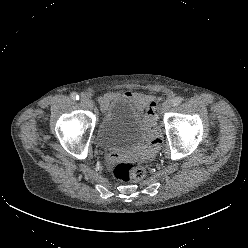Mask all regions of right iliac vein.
Returning <instances> with one entry per match:
<instances>
[{
  "mask_svg": "<svg viewBox=\"0 0 248 248\" xmlns=\"http://www.w3.org/2000/svg\"><path fill=\"white\" fill-rule=\"evenodd\" d=\"M81 102L88 108H92L93 107V102L92 99L87 96V95H82L81 97Z\"/></svg>",
  "mask_w": 248,
  "mask_h": 248,
  "instance_id": "right-iliac-vein-1",
  "label": "right iliac vein"
}]
</instances>
